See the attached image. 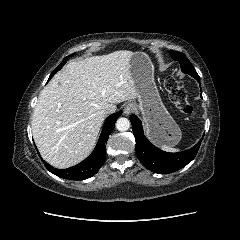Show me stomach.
<instances>
[{"label": "stomach", "mask_w": 240, "mask_h": 240, "mask_svg": "<svg viewBox=\"0 0 240 240\" xmlns=\"http://www.w3.org/2000/svg\"><path fill=\"white\" fill-rule=\"evenodd\" d=\"M129 70L138 93V108L147 136L156 144L175 146L182 133L161 101L149 56L141 51L134 52L129 61Z\"/></svg>", "instance_id": "1"}]
</instances>
